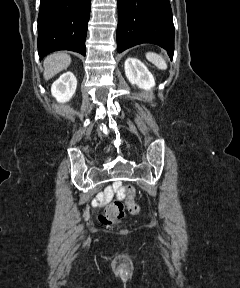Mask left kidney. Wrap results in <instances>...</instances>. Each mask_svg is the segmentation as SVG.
I'll list each match as a JSON object with an SVG mask.
<instances>
[{
	"label": "left kidney",
	"instance_id": "obj_1",
	"mask_svg": "<svg viewBox=\"0 0 240 288\" xmlns=\"http://www.w3.org/2000/svg\"><path fill=\"white\" fill-rule=\"evenodd\" d=\"M125 74L132 85L144 90H151L155 86L153 75L147 67L136 58H127L125 61Z\"/></svg>",
	"mask_w": 240,
	"mask_h": 288
}]
</instances>
